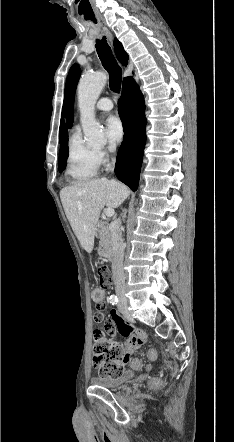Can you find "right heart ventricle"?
I'll use <instances>...</instances> for the list:
<instances>
[{
  "mask_svg": "<svg viewBox=\"0 0 234 442\" xmlns=\"http://www.w3.org/2000/svg\"><path fill=\"white\" fill-rule=\"evenodd\" d=\"M100 167L97 151L87 146L76 129L70 137L65 174L72 182H85L97 176Z\"/></svg>",
  "mask_w": 234,
  "mask_h": 442,
  "instance_id": "e07e8e85",
  "label": "right heart ventricle"
}]
</instances>
